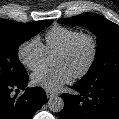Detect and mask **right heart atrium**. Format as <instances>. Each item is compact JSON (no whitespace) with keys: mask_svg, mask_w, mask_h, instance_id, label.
I'll list each match as a JSON object with an SVG mask.
<instances>
[{"mask_svg":"<svg viewBox=\"0 0 119 119\" xmlns=\"http://www.w3.org/2000/svg\"><path fill=\"white\" fill-rule=\"evenodd\" d=\"M17 55L19 61L25 67L32 71H36L45 65L48 53L40 39L34 36L21 43Z\"/></svg>","mask_w":119,"mask_h":119,"instance_id":"obj_1","label":"right heart atrium"}]
</instances>
